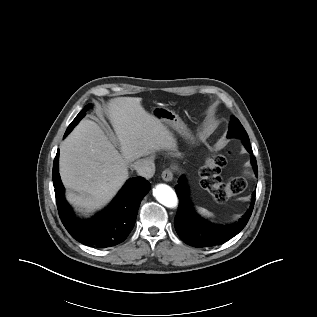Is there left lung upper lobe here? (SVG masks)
Segmentation results:
<instances>
[{
    "instance_id": "left-lung-upper-lobe-1",
    "label": "left lung upper lobe",
    "mask_w": 317,
    "mask_h": 317,
    "mask_svg": "<svg viewBox=\"0 0 317 317\" xmlns=\"http://www.w3.org/2000/svg\"><path fill=\"white\" fill-rule=\"evenodd\" d=\"M227 137L239 138L243 141V144L250 143L248 134L246 133L244 127L241 125L240 121L234 116L232 117V120L230 121Z\"/></svg>"
}]
</instances>
